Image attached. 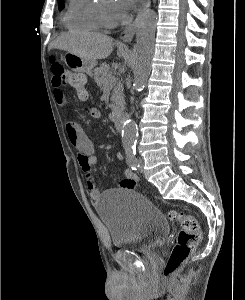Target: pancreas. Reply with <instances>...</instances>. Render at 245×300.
Listing matches in <instances>:
<instances>
[{"label":"pancreas","instance_id":"obj_1","mask_svg":"<svg viewBox=\"0 0 245 300\" xmlns=\"http://www.w3.org/2000/svg\"><path fill=\"white\" fill-rule=\"evenodd\" d=\"M94 79L101 90L112 89L114 87L113 94L111 95L112 104L110 105L112 110L110 118L114 119L124 109L122 85L117 82L114 74L106 64H102L99 68L95 69Z\"/></svg>","mask_w":245,"mask_h":300}]
</instances>
